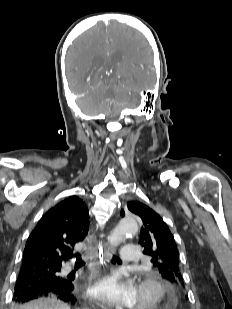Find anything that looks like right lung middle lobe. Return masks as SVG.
<instances>
[{
	"label": "right lung middle lobe",
	"mask_w": 232,
	"mask_h": 309,
	"mask_svg": "<svg viewBox=\"0 0 232 309\" xmlns=\"http://www.w3.org/2000/svg\"><path fill=\"white\" fill-rule=\"evenodd\" d=\"M58 271L56 272H47L44 273L40 278L37 277L34 274H19V278H25L26 280H29L31 282L36 281V282H43V283H53L54 281H57L60 276H58Z\"/></svg>",
	"instance_id": "dd1d6c3e"
}]
</instances>
